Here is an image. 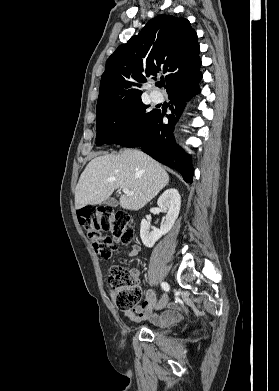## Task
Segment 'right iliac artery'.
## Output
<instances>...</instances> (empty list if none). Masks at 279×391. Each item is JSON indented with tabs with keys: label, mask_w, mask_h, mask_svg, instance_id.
Wrapping results in <instances>:
<instances>
[{
	"label": "right iliac artery",
	"mask_w": 279,
	"mask_h": 391,
	"mask_svg": "<svg viewBox=\"0 0 279 391\" xmlns=\"http://www.w3.org/2000/svg\"><path fill=\"white\" fill-rule=\"evenodd\" d=\"M161 287H162L165 291H169V285H168V283L162 282V283H161Z\"/></svg>",
	"instance_id": "obj_1"
}]
</instances>
